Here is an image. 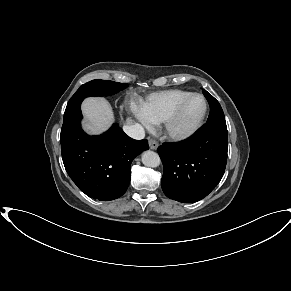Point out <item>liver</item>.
<instances>
[{
  "mask_svg": "<svg viewBox=\"0 0 291 291\" xmlns=\"http://www.w3.org/2000/svg\"><path fill=\"white\" fill-rule=\"evenodd\" d=\"M82 111L87 120L83 127L90 134L104 131L114 118L111 106L102 98H87L82 104Z\"/></svg>",
  "mask_w": 291,
  "mask_h": 291,
  "instance_id": "1",
  "label": "liver"
}]
</instances>
